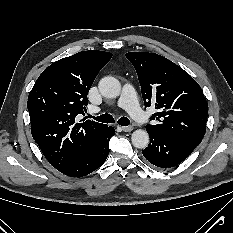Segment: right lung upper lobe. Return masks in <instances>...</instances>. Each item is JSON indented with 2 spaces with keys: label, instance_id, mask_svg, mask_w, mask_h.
Segmentation results:
<instances>
[{
  "label": "right lung upper lobe",
  "instance_id": "obj_1",
  "mask_svg": "<svg viewBox=\"0 0 233 233\" xmlns=\"http://www.w3.org/2000/svg\"><path fill=\"white\" fill-rule=\"evenodd\" d=\"M109 52L81 51L47 67L28 96L31 133L48 162L59 169L89 153L108 132L106 124L77 121Z\"/></svg>",
  "mask_w": 233,
  "mask_h": 233
}]
</instances>
